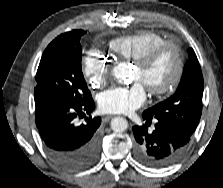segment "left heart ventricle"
<instances>
[{"instance_id": "b2bd125f", "label": "left heart ventricle", "mask_w": 223, "mask_h": 188, "mask_svg": "<svg viewBox=\"0 0 223 188\" xmlns=\"http://www.w3.org/2000/svg\"><path fill=\"white\" fill-rule=\"evenodd\" d=\"M175 69V57L172 50L163 51L145 70L134 67L132 79L139 81L146 89L161 88L171 79Z\"/></svg>"}]
</instances>
